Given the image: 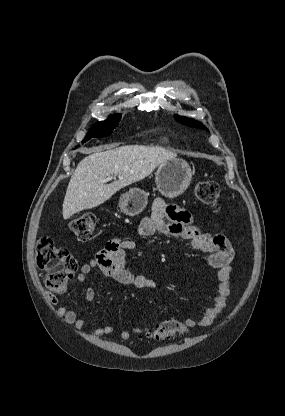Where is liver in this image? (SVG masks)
I'll list each match as a JSON object with an SVG mask.
<instances>
[{
    "instance_id": "liver-1",
    "label": "liver",
    "mask_w": 285,
    "mask_h": 416,
    "mask_svg": "<svg viewBox=\"0 0 285 416\" xmlns=\"http://www.w3.org/2000/svg\"><path fill=\"white\" fill-rule=\"evenodd\" d=\"M115 146L119 144L98 146L93 150L82 148L83 154L89 156L79 162L71 176L63 202L64 220H68L70 216L82 210L100 206L121 188L144 180L157 166L177 156L165 148H156V146H120V148ZM113 174H121L123 178L112 184H106L107 176Z\"/></svg>"
}]
</instances>
